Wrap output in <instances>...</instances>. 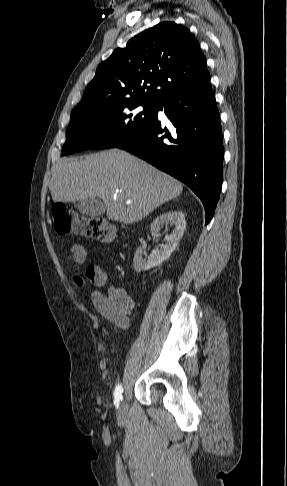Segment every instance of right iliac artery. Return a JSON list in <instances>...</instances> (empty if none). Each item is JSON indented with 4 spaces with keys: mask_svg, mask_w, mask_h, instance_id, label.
I'll use <instances>...</instances> for the list:
<instances>
[{
    "mask_svg": "<svg viewBox=\"0 0 287 486\" xmlns=\"http://www.w3.org/2000/svg\"><path fill=\"white\" fill-rule=\"evenodd\" d=\"M122 392H123V387L120 384L115 388L114 391V403L116 404L117 407L119 405L120 400H122Z\"/></svg>",
    "mask_w": 287,
    "mask_h": 486,
    "instance_id": "82829eb1",
    "label": "right iliac artery"
}]
</instances>
